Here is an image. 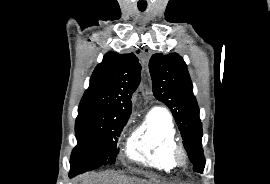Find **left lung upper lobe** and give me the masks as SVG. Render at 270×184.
Returning <instances> with one entry per match:
<instances>
[{
	"instance_id": "left-lung-upper-lobe-1",
	"label": "left lung upper lobe",
	"mask_w": 270,
	"mask_h": 184,
	"mask_svg": "<svg viewBox=\"0 0 270 184\" xmlns=\"http://www.w3.org/2000/svg\"><path fill=\"white\" fill-rule=\"evenodd\" d=\"M153 94L166 104L182 134L193 170L202 173L205 158L202 149V124L193 86L182 57L177 53L152 55L149 61Z\"/></svg>"
}]
</instances>
